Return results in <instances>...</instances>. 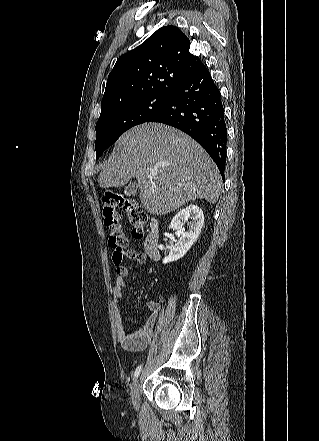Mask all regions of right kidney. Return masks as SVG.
<instances>
[{"mask_svg":"<svg viewBox=\"0 0 319 441\" xmlns=\"http://www.w3.org/2000/svg\"><path fill=\"white\" fill-rule=\"evenodd\" d=\"M189 222V229L183 227ZM204 224L202 209L194 204H190L185 209L180 210L172 219L169 229L177 230L180 238L175 242L168 256H165L163 263L174 262L182 258L193 246L199 237Z\"/></svg>","mask_w":319,"mask_h":441,"instance_id":"1","label":"right kidney"}]
</instances>
